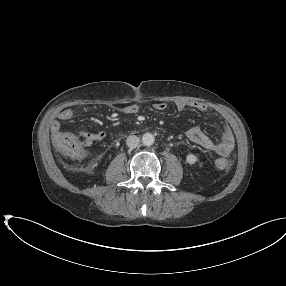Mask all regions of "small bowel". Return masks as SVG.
<instances>
[{
	"mask_svg": "<svg viewBox=\"0 0 286 286\" xmlns=\"http://www.w3.org/2000/svg\"><path fill=\"white\" fill-rule=\"evenodd\" d=\"M192 108L199 112H208L209 108L206 104L198 101L184 102L178 101L175 103V109L178 112L184 111L186 108ZM153 108L157 111H164L167 109V104L164 102H157L153 105ZM123 111L126 114H136L139 111V105L132 103L124 107ZM74 117V111L71 108H65L58 114L60 121H70ZM60 121H54L51 125L52 137L58 132H61L62 125ZM222 137L219 142L214 141L209 136L204 134L198 127H192L186 132L187 139L193 144L209 151H213L221 156H228L234 149L235 139L230 125L227 122H222ZM86 139V145L90 146L95 142L103 141L106 137L104 131L95 132H81Z\"/></svg>",
	"mask_w": 286,
	"mask_h": 286,
	"instance_id": "obj_1",
	"label": "small bowel"
}]
</instances>
